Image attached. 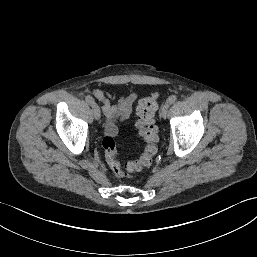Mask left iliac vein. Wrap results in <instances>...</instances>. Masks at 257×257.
<instances>
[{"label":"left iliac vein","mask_w":257,"mask_h":257,"mask_svg":"<svg viewBox=\"0 0 257 257\" xmlns=\"http://www.w3.org/2000/svg\"><path fill=\"white\" fill-rule=\"evenodd\" d=\"M169 107H170V104H169L168 102H166V103L163 105V107H162V109H161V116H162L163 118H166Z\"/></svg>","instance_id":"1"}]
</instances>
